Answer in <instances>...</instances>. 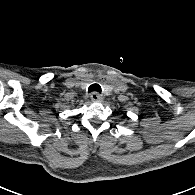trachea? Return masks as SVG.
<instances>
[{
    "label": "trachea",
    "instance_id": "3493384b",
    "mask_svg": "<svg viewBox=\"0 0 195 195\" xmlns=\"http://www.w3.org/2000/svg\"><path fill=\"white\" fill-rule=\"evenodd\" d=\"M88 92H98V93H101V87L99 84H92L89 86L88 88Z\"/></svg>",
    "mask_w": 195,
    "mask_h": 195
}]
</instances>
